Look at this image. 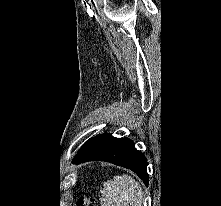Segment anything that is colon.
Instances as JSON below:
<instances>
[{"label": "colon", "instance_id": "5ec220e1", "mask_svg": "<svg viewBox=\"0 0 221 206\" xmlns=\"http://www.w3.org/2000/svg\"><path fill=\"white\" fill-rule=\"evenodd\" d=\"M91 200L85 196H81L78 200H77V206H89Z\"/></svg>", "mask_w": 221, "mask_h": 206}]
</instances>
